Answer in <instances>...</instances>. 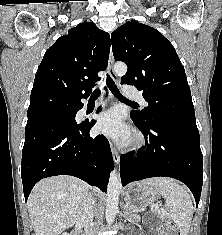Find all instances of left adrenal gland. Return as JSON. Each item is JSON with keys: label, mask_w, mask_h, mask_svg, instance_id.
Returning <instances> with one entry per match:
<instances>
[{"label": "left adrenal gland", "mask_w": 222, "mask_h": 235, "mask_svg": "<svg viewBox=\"0 0 222 235\" xmlns=\"http://www.w3.org/2000/svg\"><path fill=\"white\" fill-rule=\"evenodd\" d=\"M124 213H125L126 216H128V215L131 214V212H130V210L128 209V206H127V205L124 207Z\"/></svg>", "instance_id": "a2214340"}]
</instances>
